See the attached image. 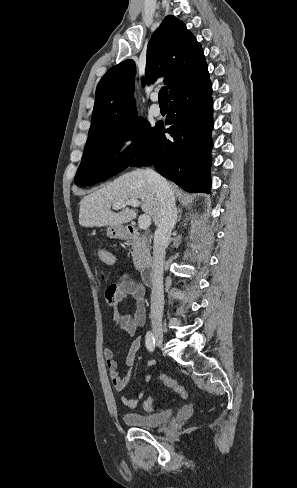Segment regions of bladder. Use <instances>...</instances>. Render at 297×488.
Wrapping results in <instances>:
<instances>
[{
	"label": "bladder",
	"instance_id": "1",
	"mask_svg": "<svg viewBox=\"0 0 297 488\" xmlns=\"http://www.w3.org/2000/svg\"><path fill=\"white\" fill-rule=\"evenodd\" d=\"M172 414L173 412L171 410L151 414L128 412L123 415V421L130 427L150 429L168 422Z\"/></svg>",
	"mask_w": 297,
	"mask_h": 488
}]
</instances>
